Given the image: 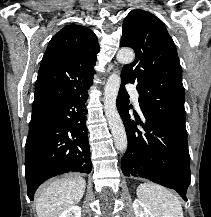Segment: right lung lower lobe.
Instances as JSON below:
<instances>
[{
  "instance_id": "right-lung-lower-lobe-1",
  "label": "right lung lower lobe",
  "mask_w": 211,
  "mask_h": 217,
  "mask_svg": "<svg viewBox=\"0 0 211 217\" xmlns=\"http://www.w3.org/2000/svg\"><path fill=\"white\" fill-rule=\"evenodd\" d=\"M87 89L32 113L25 145V175L30 200L38 186L51 177L67 172H91L84 109Z\"/></svg>"
}]
</instances>
